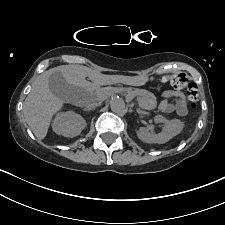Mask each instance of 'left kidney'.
<instances>
[{"instance_id": "5707ae66", "label": "left kidney", "mask_w": 225, "mask_h": 225, "mask_svg": "<svg viewBox=\"0 0 225 225\" xmlns=\"http://www.w3.org/2000/svg\"><path fill=\"white\" fill-rule=\"evenodd\" d=\"M156 123H163L164 127L158 134L139 129L136 131L138 138L145 143L163 144L168 142L174 136L178 135L183 128V124L178 119L168 120L162 115H156L154 118Z\"/></svg>"}]
</instances>
